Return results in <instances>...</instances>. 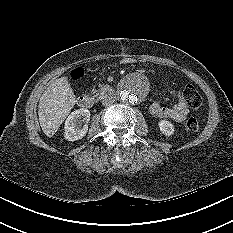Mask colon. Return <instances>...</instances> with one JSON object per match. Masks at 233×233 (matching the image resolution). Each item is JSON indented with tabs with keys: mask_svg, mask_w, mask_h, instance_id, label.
Listing matches in <instances>:
<instances>
[{
	"mask_svg": "<svg viewBox=\"0 0 233 233\" xmlns=\"http://www.w3.org/2000/svg\"><path fill=\"white\" fill-rule=\"evenodd\" d=\"M183 97L188 105L194 109L202 105V97L193 85H186L183 89ZM187 131L194 132L199 129L200 121L195 117H190L184 124Z\"/></svg>",
	"mask_w": 233,
	"mask_h": 233,
	"instance_id": "colon-1",
	"label": "colon"
}]
</instances>
